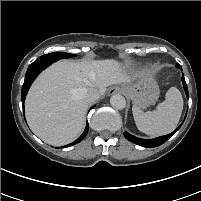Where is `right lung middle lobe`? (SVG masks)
I'll return each mask as SVG.
<instances>
[{"label": "right lung middle lobe", "instance_id": "right-lung-middle-lobe-1", "mask_svg": "<svg viewBox=\"0 0 201 201\" xmlns=\"http://www.w3.org/2000/svg\"><path fill=\"white\" fill-rule=\"evenodd\" d=\"M46 55L50 56V57H55L58 60L59 59L70 58V57L76 56V55L65 53V52H54V53H50V54H46Z\"/></svg>", "mask_w": 201, "mask_h": 201}]
</instances>
